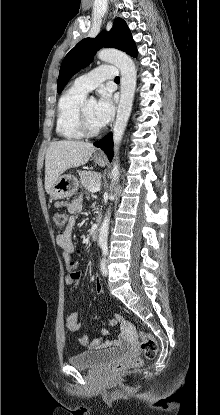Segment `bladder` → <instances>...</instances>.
Returning a JSON list of instances; mask_svg holds the SVG:
<instances>
[{
  "instance_id": "1",
  "label": "bladder",
  "mask_w": 220,
  "mask_h": 415,
  "mask_svg": "<svg viewBox=\"0 0 220 415\" xmlns=\"http://www.w3.org/2000/svg\"><path fill=\"white\" fill-rule=\"evenodd\" d=\"M125 353V348H112L101 351H82L73 355L69 359V362L76 368L88 369L116 361L122 358Z\"/></svg>"
}]
</instances>
